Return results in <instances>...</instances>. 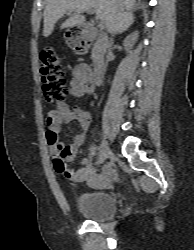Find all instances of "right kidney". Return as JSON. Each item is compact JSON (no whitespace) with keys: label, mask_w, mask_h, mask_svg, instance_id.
I'll use <instances>...</instances> for the list:
<instances>
[{"label":"right kidney","mask_w":194,"mask_h":250,"mask_svg":"<svg viewBox=\"0 0 194 250\" xmlns=\"http://www.w3.org/2000/svg\"><path fill=\"white\" fill-rule=\"evenodd\" d=\"M137 38H138V32H134L131 35H129L128 37H126V39L123 42V45H124V48H125L126 52H129L130 49H132V47L135 44Z\"/></svg>","instance_id":"1"}]
</instances>
